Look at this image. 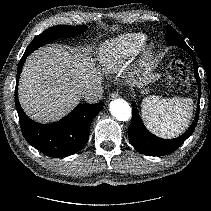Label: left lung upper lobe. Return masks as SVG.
Segmentation results:
<instances>
[{"mask_svg": "<svg viewBox=\"0 0 211 211\" xmlns=\"http://www.w3.org/2000/svg\"><path fill=\"white\" fill-rule=\"evenodd\" d=\"M182 38L179 36V34L171 27L167 26L166 27V42L169 44L170 41H175V40H181Z\"/></svg>", "mask_w": 211, "mask_h": 211, "instance_id": "5c2ea615", "label": "left lung upper lobe"}]
</instances>
